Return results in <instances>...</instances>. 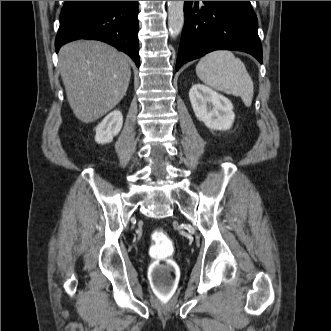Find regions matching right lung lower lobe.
I'll return each instance as SVG.
<instances>
[{
  "mask_svg": "<svg viewBox=\"0 0 331 331\" xmlns=\"http://www.w3.org/2000/svg\"><path fill=\"white\" fill-rule=\"evenodd\" d=\"M138 1H65L55 40L95 39L128 54L139 66Z\"/></svg>",
  "mask_w": 331,
  "mask_h": 331,
  "instance_id": "98d812e1",
  "label": "right lung lower lobe"
}]
</instances>
